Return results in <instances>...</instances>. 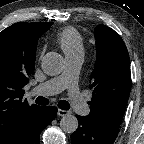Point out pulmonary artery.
Here are the masks:
<instances>
[{
    "instance_id": "1",
    "label": "pulmonary artery",
    "mask_w": 144,
    "mask_h": 144,
    "mask_svg": "<svg viewBox=\"0 0 144 144\" xmlns=\"http://www.w3.org/2000/svg\"><path fill=\"white\" fill-rule=\"evenodd\" d=\"M82 60V54L66 57V66L62 74L36 86L33 94L50 96L68 89V95L75 111L80 115H86L89 112V108L77 86V75Z\"/></svg>"
}]
</instances>
